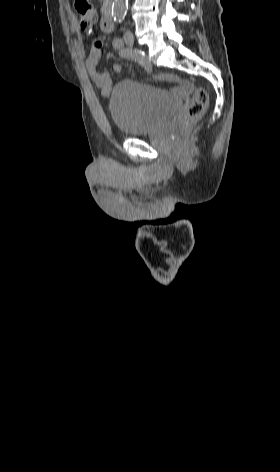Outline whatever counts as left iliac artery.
<instances>
[{
    "instance_id": "left-iliac-artery-1",
    "label": "left iliac artery",
    "mask_w": 280,
    "mask_h": 472,
    "mask_svg": "<svg viewBox=\"0 0 280 472\" xmlns=\"http://www.w3.org/2000/svg\"><path fill=\"white\" fill-rule=\"evenodd\" d=\"M123 46V42L120 38H116L113 40V47L116 49H120Z\"/></svg>"
}]
</instances>
